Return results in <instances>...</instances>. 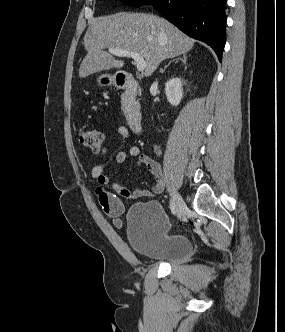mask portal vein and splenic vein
Masks as SVG:
<instances>
[{
    "mask_svg": "<svg viewBox=\"0 0 285 332\" xmlns=\"http://www.w3.org/2000/svg\"><path fill=\"white\" fill-rule=\"evenodd\" d=\"M108 51L109 53L118 57H131L132 59H134L138 71H144L146 67V62L139 53L125 51L117 48H109Z\"/></svg>",
    "mask_w": 285,
    "mask_h": 332,
    "instance_id": "obj_1",
    "label": "portal vein and splenic vein"
}]
</instances>
